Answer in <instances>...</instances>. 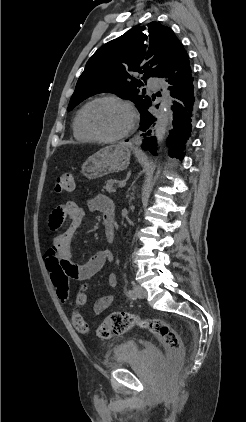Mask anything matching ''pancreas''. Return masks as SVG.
I'll return each instance as SVG.
<instances>
[{
    "label": "pancreas",
    "mask_w": 246,
    "mask_h": 422,
    "mask_svg": "<svg viewBox=\"0 0 246 422\" xmlns=\"http://www.w3.org/2000/svg\"><path fill=\"white\" fill-rule=\"evenodd\" d=\"M116 182H117L116 180H112V179L107 180L106 183H105L104 188L102 189V191L104 192L106 190L109 193L115 192V189L113 188V185Z\"/></svg>",
    "instance_id": "obj_1"
}]
</instances>
